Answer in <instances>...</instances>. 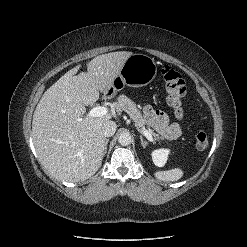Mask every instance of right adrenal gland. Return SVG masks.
Here are the masks:
<instances>
[{"label": "right adrenal gland", "mask_w": 247, "mask_h": 247, "mask_svg": "<svg viewBox=\"0 0 247 247\" xmlns=\"http://www.w3.org/2000/svg\"><path fill=\"white\" fill-rule=\"evenodd\" d=\"M108 142H109V139L106 138V139H105V144H104V152H103V155H105L106 152H107V145H108Z\"/></svg>", "instance_id": "right-adrenal-gland-1"}]
</instances>
